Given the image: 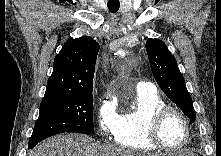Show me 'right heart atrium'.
<instances>
[{
  "label": "right heart atrium",
  "mask_w": 221,
  "mask_h": 156,
  "mask_svg": "<svg viewBox=\"0 0 221 156\" xmlns=\"http://www.w3.org/2000/svg\"><path fill=\"white\" fill-rule=\"evenodd\" d=\"M116 106L115 99L108 94H105L98 104L96 121L99 132L103 137L108 138L115 134L119 115Z\"/></svg>",
  "instance_id": "d8ad5b80"
}]
</instances>
